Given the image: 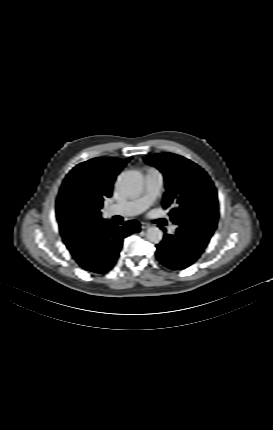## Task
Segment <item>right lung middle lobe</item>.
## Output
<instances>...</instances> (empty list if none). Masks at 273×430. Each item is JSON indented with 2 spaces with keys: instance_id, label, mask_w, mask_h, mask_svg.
Instances as JSON below:
<instances>
[{
  "instance_id": "right-lung-middle-lobe-1",
  "label": "right lung middle lobe",
  "mask_w": 273,
  "mask_h": 430,
  "mask_svg": "<svg viewBox=\"0 0 273 430\" xmlns=\"http://www.w3.org/2000/svg\"><path fill=\"white\" fill-rule=\"evenodd\" d=\"M96 214L98 210L80 196L71 198L62 208L65 226L73 229L83 227Z\"/></svg>"
}]
</instances>
